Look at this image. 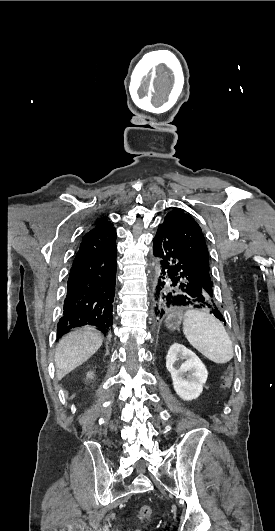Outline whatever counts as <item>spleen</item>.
Wrapping results in <instances>:
<instances>
[{
	"label": "spleen",
	"mask_w": 275,
	"mask_h": 531,
	"mask_svg": "<svg viewBox=\"0 0 275 531\" xmlns=\"http://www.w3.org/2000/svg\"><path fill=\"white\" fill-rule=\"evenodd\" d=\"M183 333L190 345L213 363L224 365L234 357L232 341L224 325L208 311H186Z\"/></svg>",
	"instance_id": "spleen-1"
}]
</instances>
